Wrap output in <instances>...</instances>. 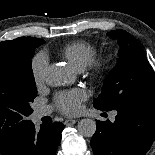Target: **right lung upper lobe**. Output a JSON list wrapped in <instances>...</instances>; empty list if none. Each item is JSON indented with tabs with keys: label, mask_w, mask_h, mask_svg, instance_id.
Segmentation results:
<instances>
[{
	"label": "right lung upper lobe",
	"mask_w": 155,
	"mask_h": 155,
	"mask_svg": "<svg viewBox=\"0 0 155 155\" xmlns=\"http://www.w3.org/2000/svg\"><path fill=\"white\" fill-rule=\"evenodd\" d=\"M39 38L34 37H20L14 40L3 41L0 43L1 48H7L10 46L20 45V44H31L37 41Z\"/></svg>",
	"instance_id": "obj_1"
}]
</instances>
